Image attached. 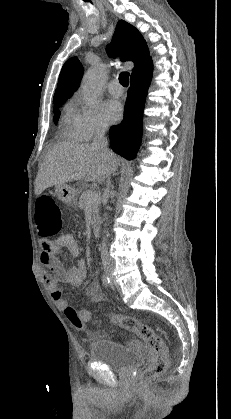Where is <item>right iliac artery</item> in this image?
<instances>
[{
  "mask_svg": "<svg viewBox=\"0 0 231 419\" xmlns=\"http://www.w3.org/2000/svg\"><path fill=\"white\" fill-rule=\"evenodd\" d=\"M102 282L104 285L108 286L110 284V278L107 275L102 276Z\"/></svg>",
  "mask_w": 231,
  "mask_h": 419,
  "instance_id": "82829eb1",
  "label": "right iliac artery"
}]
</instances>
